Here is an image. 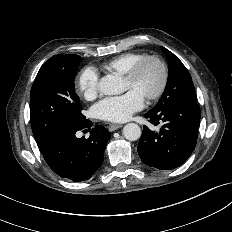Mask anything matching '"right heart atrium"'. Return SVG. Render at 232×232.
<instances>
[{
  "label": "right heart atrium",
  "mask_w": 232,
  "mask_h": 232,
  "mask_svg": "<svg viewBox=\"0 0 232 232\" xmlns=\"http://www.w3.org/2000/svg\"><path fill=\"white\" fill-rule=\"evenodd\" d=\"M77 90L87 100L97 96L99 91V74L94 67L84 68L77 77Z\"/></svg>",
  "instance_id": "1"
}]
</instances>
